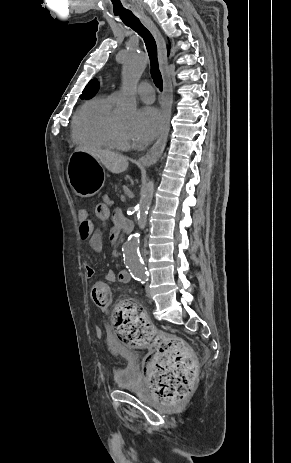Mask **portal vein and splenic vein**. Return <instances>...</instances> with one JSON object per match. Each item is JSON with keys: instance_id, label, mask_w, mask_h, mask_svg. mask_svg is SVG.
<instances>
[{"instance_id": "portal-vein-and-splenic-vein-1", "label": "portal vein and splenic vein", "mask_w": 291, "mask_h": 463, "mask_svg": "<svg viewBox=\"0 0 291 463\" xmlns=\"http://www.w3.org/2000/svg\"><path fill=\"white\" fill-rule=\"evenodd\" d=\"M121 199H124V196H123V195L121 196Z\"/></svg>"}]
</instances>
